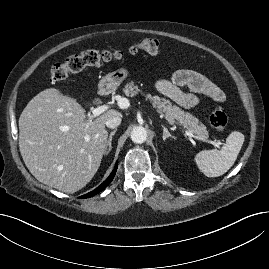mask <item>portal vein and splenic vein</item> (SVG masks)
Returning a JSON list of instances; mask_svg holds the SVG:
<instances>
[{"instance_id":"portal-vein-and-splenic-vein-1","label":"portal vein and splenic vein","mask_w":269,"mask_h":269,"mask_svg":"<svg viewBox=\"0 0 269 269\" xmlns=\"http://www.w3.org/2000/svg\"><path fill=\"white\" fill-rule=\"evenodd\" d=\"M118 103H119V106L121 108H125L127 106V104L122 103L121 101H119ZM107 109H108L107 105H101V106H98L96 108H93L92 109V116L89 117V121H91L93 117L99 116L100 114L104 113ZM185 134L191 138L204 140V141H206V142H208L216 147H219V145L221 144L220 142H217V141L205 140L203 138L197 137L189 130H186Z\"/></svg>"}]
</instances>
